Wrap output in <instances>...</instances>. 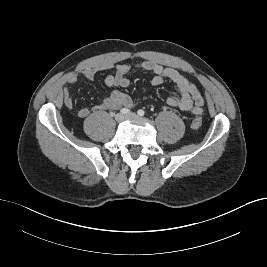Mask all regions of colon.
<instances>
[{"mask_svg":"<svg viewBox=\"0 0 267 267\" xmlns=\"http://www.w3.org/2000/svg\"><path fill=\"white\" fill-rule=\"evenodd\" d=\"M201 125H202V120H201V118H200V117H195V118L193 119V121H192V127H193L194 129H198V128L201 127Z\"/></svg>","mask_w":267,"mask_h":267,"instance_id":"colon-1","label":"colon"}]
</instances>
